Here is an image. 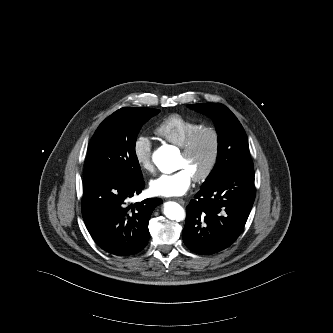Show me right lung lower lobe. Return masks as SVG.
<instances>
[{
    "instance_id": "1",
    "label": "right lung lower lobe",
    "mask_w": 333,
    "mask_h": 333,
    "mask_svg": "<svg viewBox=\"0 0 333 333\" xmlns=\"http://www.w3.org/2000/svg\"><path fill=\"white\" fill-rule=\"evenodd\" d=\"M143 188V180L84 176L82 216L89 233L103 250L127 256L146 246L151 213L162 200L148 198L129 205L128 199Z\"/></svg>"
}]
</instances>
